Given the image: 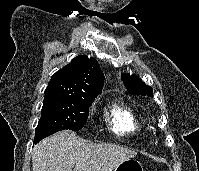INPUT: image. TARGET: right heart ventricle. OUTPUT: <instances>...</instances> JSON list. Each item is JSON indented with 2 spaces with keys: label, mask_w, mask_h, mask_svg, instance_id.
I'll return each mask as SVG.
<instances>
[{
  "label": "right heart ventricle",
  "mask_w": 199,
  "mask_h": 171,
  "mask_svg": "<svg viewBox=\"0 0 199 171\" xmlns=\"http://www.w3.org/2000/svg\"><path fill=\"white\" fill-rule=\"evenodd\" d=\"M105 117L110 130L118 135H137L146 126V121L137 111L120 100H114L108 105Z\"/></svg>",
  "instance_id": "e07e8e85"
}]
</instances>
